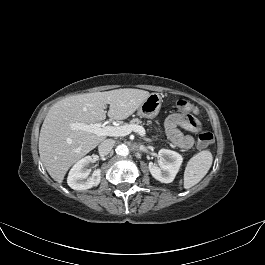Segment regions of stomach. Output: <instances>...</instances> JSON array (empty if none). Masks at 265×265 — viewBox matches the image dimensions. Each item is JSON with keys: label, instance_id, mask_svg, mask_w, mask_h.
Returning <instances> with one entry per match:
<instances>
[{"label": "stomach", "instance_id": "1", "mask_svg": "<svg viewBox=\"0 0 265 265\" xmlns=\"http://www.w3.org/2000/svg\"><path fill=\"white\" fill-rule=\"evenodd\" d=\"M162 97L158 93H152L138 108V114L148 119L155 118L161 108Z\"/></svg>", "mask_w": 265, "mask_h": 265}]
</instances>
